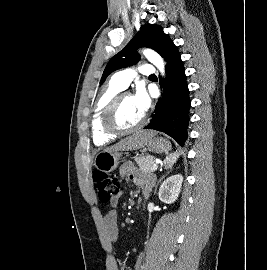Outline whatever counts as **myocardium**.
<instances>
[{
  "mask_svg": "<svg viewBox=\"0 0 267 270\" xmlns=\"http://www.w3.org/2000/svg\"><path fill=\"white\" fill-rule=\"evenodd\" d=\"M128 96H131V95L127 92L119 93L111 100V102L106 107L103 114L102 124H103L104 130L107 133L111 135H115V136L126 135V134L139 130L145 125L146 115H143L142 119L136 125L129 128L121 127L118 124L117 122L118 109L123 99Z\"/></svg>",
  "mask_w": 267,
  "mask_h": 270,
  "instance_id": "myocardium-1",
  "label": "myocardium"
}]
</instances>
